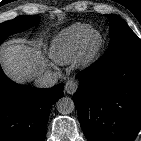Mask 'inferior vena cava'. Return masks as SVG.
I'll return each mask as SVG.
<instances>
[{
  "label": "inferior vena cava",
  "mask_w": 141,
  "mask_h": 141,
  "mask_svg": "<svg viewBox=\"0 0 141 141\" xmlns=\"http://www.w3.org/2000/svg\"><path fill=\"white\" fill-rule=\"evenodd\" d=\"M58 81L57 75L52 72H45L35 80V86L38 88H51Z\"/></svg>",
  "instance_id": "obj_1"
}]
</instances>
